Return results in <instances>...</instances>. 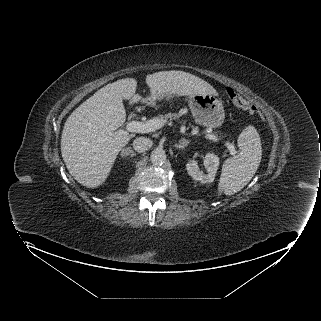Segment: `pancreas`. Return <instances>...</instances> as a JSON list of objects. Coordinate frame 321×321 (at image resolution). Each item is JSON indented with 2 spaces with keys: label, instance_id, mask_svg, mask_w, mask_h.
Returning <instances> with one entry per match:
<instances>
[{
  "label": "pancreas",
  "instance_id": "1",
  "mask_svg": "<svg viewBox=\"0 0 321 321\" xmlns=\"http://www.w3.org/2000/svg\"><path fill=\"white\" fill-rule=\"evenodd\" d=\"M176 116H177V114L168 113L165 115H160V116L156 117L155 119H158V120L163 121L164 123H167V122L171 121L173 118H175ZM194 129H197V128H194Z\"/></svg>",
  "mask_w": 321,
  "mask_h": 321
}]
</instances>
